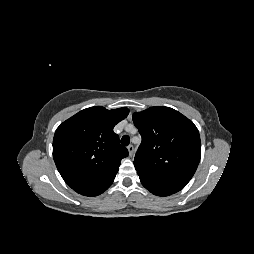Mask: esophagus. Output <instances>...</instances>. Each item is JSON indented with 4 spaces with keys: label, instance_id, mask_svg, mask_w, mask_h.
Listing matches in <instances>:
<instances>
[{
    "label": "esophagus",
    "instance_id": "1",
    "mask_svg": "<svg viewBox=\"0 0 254 254\" xmlns=\"http://www.w3.org/2000/svg\"><path fill=\"white\" fill-rule=\"evenodd\" d=\"M127 149H128V152H129V156L132 157L133 154H134V147H133V145H129L127 147Z\"/></svg>",
    "mask_w": 254,
    "mask_h": 254
}]
</instances>
